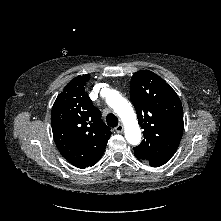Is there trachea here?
<instances>
[{"instance_id":"1","label":"trachea","mask_w":221,"mask_h":221,"mask_svg":"<svg viewBox=\"0 0 221 221\" xmlns=\"http://www.w3.org/2000/svg\"><path fill=\"white\" fill-rule=\"evenodd\" d=\"M107 125L110 127H116L118 125V118L116 115L110 113L106 117Z\"/></svg>"}]
</instances>
